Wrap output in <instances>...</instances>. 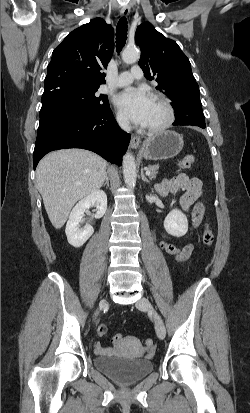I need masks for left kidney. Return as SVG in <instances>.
Segmentation results:
<instances>
[{
  "mask_svg": "<svg viewBox=\"0 0 250 413\" xmlns=\"http://www.w3.org/2000/svg\"><path fill=\"white\" fill-rule=\"evenodd\" d=\"M164 228L172 236H184L188 231L186 215L178 209H173L164 220Z\"/></svg>",
  "mask_w": 250,
  "mask_h": 413,
  "instance_id": "1",
  "label": "left kidney"
}]
</instances>
